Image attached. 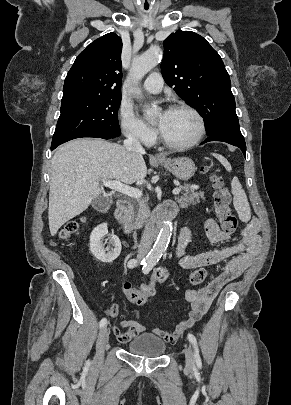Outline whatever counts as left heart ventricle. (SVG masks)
<instances>
[{"label": "left heart ventricle", "mask_w": 291, "mask_h": 405, "mask_svg": "<svg viewBox=\"0 0 291 405\" xmlns=\"http://www.w3.org/2000/svg\"><path fill=\"white\" fill-rule=\"evenodd\" d=\"M157 122L163 136L173 143H186L198 131L196 118L187 110H168L158 116Z\"/></svg>", "instance_id": "1"}]
</instances>
